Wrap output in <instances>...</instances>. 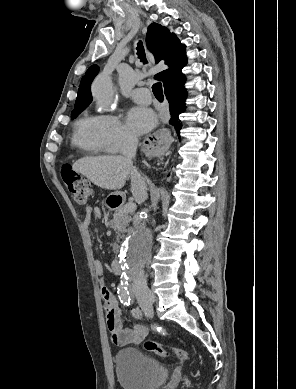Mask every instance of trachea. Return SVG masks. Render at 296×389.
I'll list each match as a JSON object with an SVG mask.
<instances>
[{"label":"trachea","instance_id":"obj_1","mask_svg":"<svg viewBox=\"0 0 296 389\" xmlns=\"http://www.w3.org/2000/svg\"><path fill=\"white\" fill-rule=\"evenodd\" d=\"M137 55H138V58L140 59L141 62H143L144 64L147 63L144 46H143V43L141 41L137 45ZM152 91L158 100H163L164 96H163V89H162L161 83H159V82L155 83L152 86Z\"/></svg>","mask_w":296,"mask_h":389}]
</instances>
